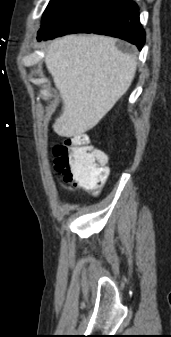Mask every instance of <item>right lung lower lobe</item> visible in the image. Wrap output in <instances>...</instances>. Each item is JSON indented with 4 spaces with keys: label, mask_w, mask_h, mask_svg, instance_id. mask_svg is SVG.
Instances as JSON below:
<instances>
[{
    "label": "right lung lower lobe",
    "mask_w": 171,
    "mask_h": 337,
    "mask_svg": "<svg viewBox=\"0 0 171 337\" xmlns=\"http://www.w3.org/2000/svg\"><path fill=\"white\" fill-rule=\"evenodd\" d=\"M71 33H96L135 44L145 43L139 8L131 0H72L52 21L42 26L38 40Z\"/></svg>",
    "instance_id": "98d812e1"
}]
</instances>
